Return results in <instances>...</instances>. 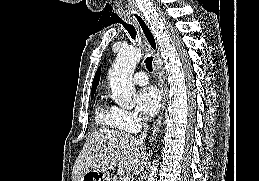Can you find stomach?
<instances>
[{
	"label": "stomach",
	"instance_id": "0dacf381",
	"mask_svg": "<svg viewBox=\"0 0 259 181\" xmlns=\"http://www.w3.org/2000/svg\"><path fill=\"white\" fill-rule=\"evenodd\" d=\"M79 181H110V174L108 171L91 169L83 174Z\"/></svg>",
	"mask_w": 259,
	"mask_h": 181
}]
</instances>
